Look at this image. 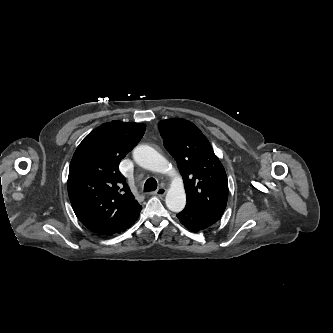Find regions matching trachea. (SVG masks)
Listing matches in <instances>:
<instances>
[{
	"mask_svg": "<svg viewBox=\"0 0 333 333\" xmlns=\"http://www.w3.org/2000/svg\"><path fill=\"white\" fill-rule=\"evenodd\" d=\"M157 189V181L154 178H149L144 184V191L150 192Z\"/></svg>",
	"mask_w": 333,
	"mask_h": 333,
	"instance_id": "obj_1",
	"label": "trachea"
}]
</instances>
